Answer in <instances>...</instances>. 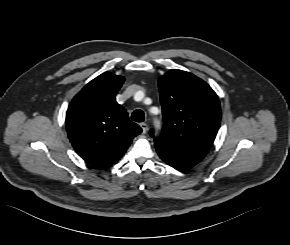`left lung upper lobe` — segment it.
Here are the masks:
<instances>
[{
  "label": "left lung upper lobe",
  "mask_w": 290,
  "mask_h": 245,
  "mask_svg": "<svg viewBox=\"0 0 290 245\" xmlns=\"http://www.w3.org/2000/svg\"><path fill=\"white\" fill-rule=\"evenodd\" d=\"M159 90L164 126L155 145L184 160L200 162L220 127L216 93L202 79L177 69L160 77Z\"/></svg>",
  "instance_id": "obj_1"
}]
</instances>
